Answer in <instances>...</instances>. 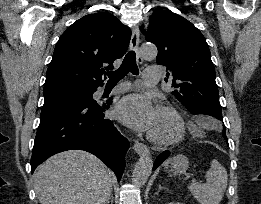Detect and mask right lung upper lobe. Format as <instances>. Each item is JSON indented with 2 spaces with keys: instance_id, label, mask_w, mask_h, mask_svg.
Returning a JSON list of instances; mask_svg holds the SVG:
<instances>
[{
  "instance_id": "obj_1",
  "label": "right lung upper lobe",
  "mask_w": 261,
  "mask_h": 204,
  "mask_svg": "<svg viewBox=\"0 0 261 204\" xmlns=\"http://www.w3.org/2000/svg\"><path fill=\"white\" fill-rule=\"evenodd\" d=\"M130 37V29L107 12L89 14L74 22L55 46L44 95L91 91L102 86V74L125 54Z\"/></svg>"
}]
</instances>
